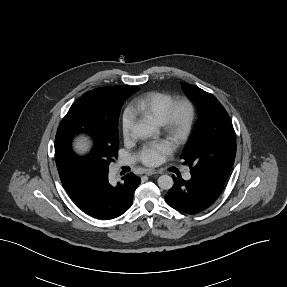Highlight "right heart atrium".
Listing matches in <instances>:
<instances>
[{"label":"right heart atrium","mask_w":287,"mask_h":287,"mask_svg":"<svg viewBox=\"0 0 287 287\" xmlns=\"http://www.w3.org/2000/svg\"><path fill=\"white\" fill-rule=\"evenodd\" d=\"M122 133L125 138L132 135L135 127V114L131 109H126L121 119Z\"/></svg>","instance_id":"1"}]
</instances>
